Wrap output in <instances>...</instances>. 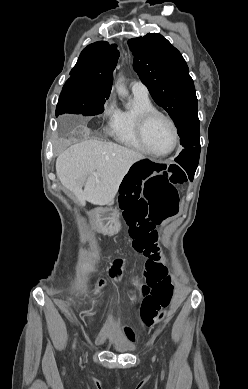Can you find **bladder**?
Here are the masks:
<instances>
[{"mask_svg": "<svg viewBox=\"0 0 248 389\" xmlns=\"http://www.w3.org/2000/svg\"><path fill=\"white\" fill-rule=\"evenodd\" d=\"M96 342L104 346L107 350L118 354H126L134 348L132 344L125 340L107 335L104 332L97 335Z\"/></svg>", "mask_w": 248, "mask_h": 389, "instance_id": "obj_1", "label": "bladder"}]
</instances>
